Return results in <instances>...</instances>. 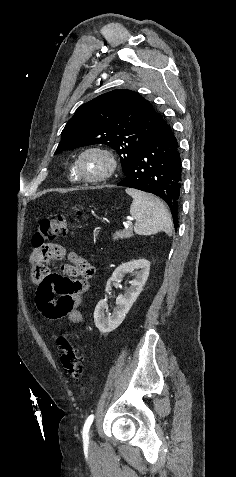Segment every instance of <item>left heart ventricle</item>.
I'll use <instances>...</instances> for the list:
<instances>
[{
    "label": "left heart ventricle",
    "instance_id": "obj_1",
    "mask_svg": "<svg viewBox=\"0 0 236 477\" xmlns=\"http://www.w3.org/2000/svg\"><path fill=\"white\" fill-rule=\"evenodd\" d=\"M80 168L84 175L94 177L106 170L107 162L102 156L90 153L81 160Z\"/></svg>",
    "mask_w": 236,
    "mask_h": 477
}]
</instances>
